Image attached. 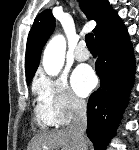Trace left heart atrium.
Returning <instances> with one entry per match:
<instances>
[{
	"mask_svg": "<svg viewBox=\"0 0 139 150\" xmlns=\"http://www.w3.org/2000/svg\"><path fill=\"white\" fill-rule=\"evenodd\" d=\"M96 85V77L88 67H78L72 75L74 91L82 97L87 96Z\"/></svg>",
	"mask_w": 139,
	"mask_h": 150,
	"instance_id": "1",
	"label": "left heart atrium"
}]
</instances>
